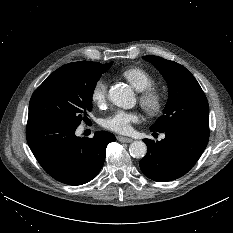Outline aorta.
Returning <instances> with one entry per match:
<instances>
[{
    "label": "aorta",
    "instance_id": "762f6f07",
    "mask_svg": "<svg viewBox=\"0 0 233 233\" xmlns=\"http://www.w3.org/2000/svg\"><path fill=\"white\" fill-rule=\"evenodd\" d=\"M108 98L112 103L124 109L133 108L136 104L135 94L132 89L124 84H118L109 90ZM131 156L143 158L147 153V146L143 141H134L129 146Z\"/></svg>",
    "mask_w": 233,
    "mask_h": 233
}]
</instances>
